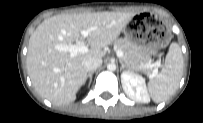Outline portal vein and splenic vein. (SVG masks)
Listing matches in <instances>:
<instances>
[{
	"instance_id": "1",
	"label": "portal vein and splenic vein",
	"mask_w": 203,
	"mask_h": 123,
	"mask_svg": "<svg viewBox=\"0 0 203 123\" xmlns=\"http://www.w3.org/2000/svg\"><path fill=\"white\" fill-rule=\"evenodd\" d=\"M95 29H96L95 27H91L87 30H82L81 34L83 37H87L88 34ZM56 49L59 51L69 52L72 57H74L78 53H87L88 52V47L84 44H70V45L59 44L56 46ZM116 55H117V57L122 58L123 52L121 50H116ZM158 67H159L158 64H147V65L140 66V69H146V68L152 69L153 68V72L150 75V77L153 78L158 75Z\"/></svg>"
}]
</instances>
